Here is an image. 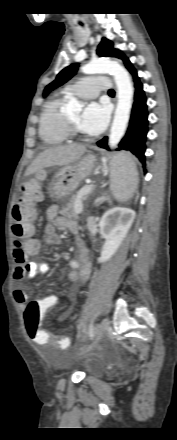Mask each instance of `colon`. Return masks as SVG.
Here are the masks:
<instances>
[{
  "label": "colon",
  "instance_id": "obj_1",
  "mask_svg": "<svg viewBox=\"0 0 177 440\" xmlns=\"http://www.w3.org/2000/svg\"><path fill=\"white\" fill-rule=\"evenodd\" d=\"M42 180L43 176H40L23 183L12 207V233L18 239L14 252L21 259H26L36 249L34 243L23 240L31 238L34 233L35 204L42 199L40 190ZM61 303L60 298H31V302L23 312L29 341L37 342V348L51 346L52 352H60L61 348L70 346L69 334H50L49 330L40 329L42 318L48 314V311H52L55 306H59Z\"/></svg>",
  "mask_w": 177,
  "mask_h": 440
}]
</instances>
